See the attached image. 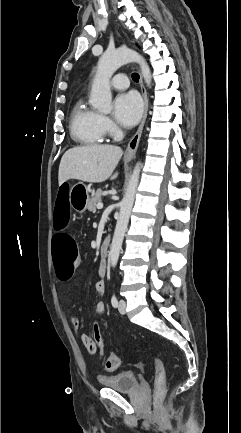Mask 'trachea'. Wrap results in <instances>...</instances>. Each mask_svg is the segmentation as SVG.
Wrapping results in <instances>:
<instances>
[{"label": "trachea", "instance_id": "1", "mask_svg": "<svg viewBox=\"0 0 241 433\" xmlns=\"http://www.w3.org/2000/svg\"><path fill=\"white\" fill-rule=\"evenodd\" d=\"M139 74L138 73H133L132 74V79L135 81V82H138L139 81Z\"/></svg>", "mask_w": 241, "mask_h": 433}]
</instances>
